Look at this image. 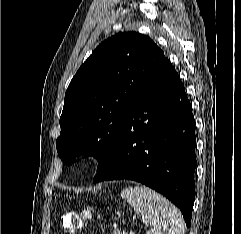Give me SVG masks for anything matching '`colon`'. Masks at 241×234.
I'll return each mask as SVG.
<instances>
[{
  "mask_svg": "<svg viewBox=\"0 0 241 234\" xmlns=\"http://www.w3.org/2000/svg\"><path fill=\"white\" fill-rule=\"evenodd\" d=\"M83 218L75 213L65 214L61 219V228L66 233H73L82 225Z\"/></svg>",
  "mask_w": 241,
  "mask_h": 234,
  "instance_id": "colon-1",
  "label": "colon"
}]
</instances>
